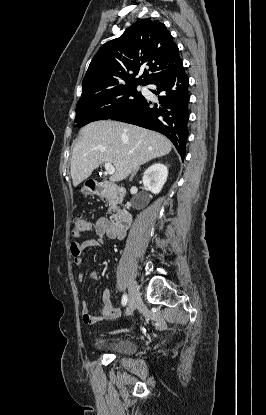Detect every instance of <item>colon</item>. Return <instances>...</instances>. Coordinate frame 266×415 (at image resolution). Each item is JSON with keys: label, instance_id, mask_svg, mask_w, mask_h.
Listing matches in <instances>:
<instances>
[{"label": "colon", "instance_id": "obj_1", "mask_svg": "<svg viewBox=\"0 0 266 415\" xmlns=\"http://www.w3.org/2000/svg\"><path fill=\"white\" fill-rule=\"evenodd\" d=\"M91 224L84 216H76L72 222V236L75 238L81 237L85 233L89 232Z\"/></svg>", "mask_w": 266, "mask_h": 415}]
</instances>
